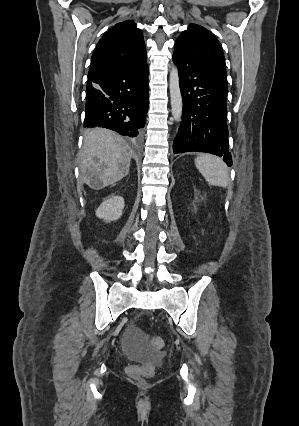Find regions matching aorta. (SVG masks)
Returning a JSON list of instances; mask_svg holds the SVG:
<instances>
[{"label": "aorta", "instance_id": "aorta-1", "mask_svg": "<svg viewBox=\"0 0 299 426\" xmlns=\"http://www.w3.org/2000/svg\"><path fill=\"white\" fill-rule=\"evenodd\" d=\"M169 90L172 116L175 121H180L183 111V101L180 90L179 73L177 67H173L170 71Z\"/></svg>", "mask_w": 299, "mask_h": 426}]
</instances>
